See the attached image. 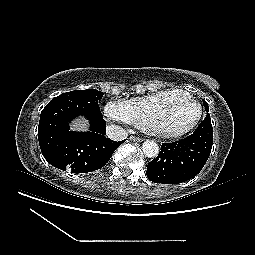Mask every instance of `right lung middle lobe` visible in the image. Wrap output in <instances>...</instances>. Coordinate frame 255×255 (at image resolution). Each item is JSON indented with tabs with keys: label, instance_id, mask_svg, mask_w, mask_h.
I'll return each instance as SVG.
<instances>
[{
	"label": "right lung middle lobe",
	"instance_id": "dd1d6c3e",
	"mask_svg": "<svg viewBox=\"0 0 255 255\" xmlns=\"http://www.w3.org/2000/svg\"><path fill=\"white\" fill-rule=\"evenodd\" d=\"M96 89L66 92L53 98L42 110L38 139L41 150L48 149L67 129L73 118L82 115L90 122L103 118L98 101L103 97Z\"/></svg>",
	"mask_w": 255,
	"mask_h": 255
}]
</instances>
